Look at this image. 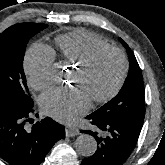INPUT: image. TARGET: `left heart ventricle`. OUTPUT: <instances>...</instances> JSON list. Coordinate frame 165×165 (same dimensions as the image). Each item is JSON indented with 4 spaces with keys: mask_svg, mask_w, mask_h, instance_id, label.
I'll return each mask as SVG.
<instances>
[{
    "mask_svg": "<svg viewBox=\"0 0 165 165\" xmlns=\"http://www.w3.org/2000/svg\"><path fill=\"white\" fill-rule=\"evenodd\" d=\"M120 71L119 55L112 51H104L87 69L76 68L72 84L81 88L90 99H93L106 94L114 86Z\"/></svg>",
    "mask_w": 165,
    "mask_h": 165,
    "instance_id": "obj_1",
    "label": "left heart ventricle"
}]
</instances>
